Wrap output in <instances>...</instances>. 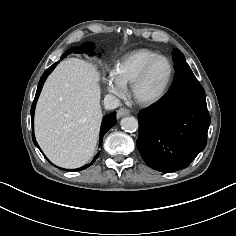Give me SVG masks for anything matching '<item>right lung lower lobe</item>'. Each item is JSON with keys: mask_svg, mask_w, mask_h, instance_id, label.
Instances as JSON below:
<instances>
[{"mask_svg": "<svg viewBox=\"0 0 236 236\" xmlns=\"http://www.w3.org/2000/svg\"><path fill=\"white\" fill-rule=\"evenodd\" d=\"M94 49V45L92 43H84L81 45L80 48H73L72 50H69L67 53L63 54L61 56V60L64 59L67 54H70L72 51H74L75 53H90L91 51H93ZM60 61L54 63L52 66H50L42 75L39 84H38V88H37V92L35 95V99L33 101L32 107H31V118H32V129H33V120H34V110H35V106L39 97V94L42 90L43 84L47 78V76L53 71V69L56 67V65L59 63ZM117 123L116 121V112H112L111 114L106 115L103 118L102 121V125H101V130H100V142H99V146L101 145L102 141H103V136L105 135V133L111 128L113 127L115 124ZM32 138H33V142L34 144L39 148L36 140H35V136H34V132L32 131ZM99 153L94 157L92 163L98 158ZM92 163L85 165L81 168L78 169H74V170H67V171H78V170H84L87 167H89Z\"/></svg>", "mask_w": 236, "mask_h": 236, "instance_id": "98d812e1", "label": "right lung lower lobe"}]
</instances>
